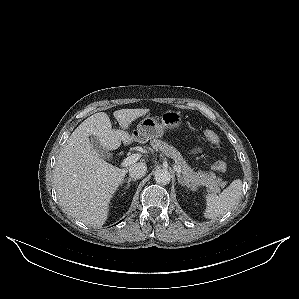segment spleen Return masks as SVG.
Wrapping results in <instances>:
<instances>
[{
    "label": "spleen",
    "instance_id": "spleen-1",
    "mask_svg": "<svg viewBox=\"0 0 299 299\" xmlns=\"http://www.w3.org/2000/svg\"><path fill=\"white\" fill-rule=\"evenodd\" d=\"M242 194V181L234 180L219 195L208 193L205 195L206 209L204 217L207 219H216L226 214L240 199Z\"/></svg>",
    "mask_w": 299,
    "mask_h": 299
}]
</instances>
